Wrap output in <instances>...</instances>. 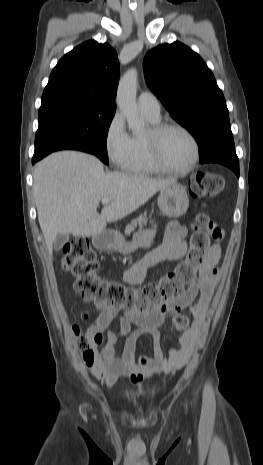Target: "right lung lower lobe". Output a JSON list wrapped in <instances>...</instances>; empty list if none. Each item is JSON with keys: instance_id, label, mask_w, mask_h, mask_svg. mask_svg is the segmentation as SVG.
Masks as SVG:
<instances>
[{"instance_id": "1", "label": "right lung lower lobe", "mask_w": 263, "mask_h": 465, "mask_svg": "<svg viewBox=\"0 0 263 465\" xmlns=\"http://www.w3.org/2000/svg\"><path fill=\"white\" fill-rule=\"evenodd\" d=\"M64 149H73V150H80V151H84V152H87V153H91L90 150L80 144H75V143H64V144H61L59 146H56L52 149H50L45 155L43 156H40V157H33L32 159V164L36 163L37 161H39L40 159H42L43 157H45L46 155H48L49 153L51 152H54V151H58V150H64ZM92 154V153H91Z\"/></svg>"}]
</instances>
